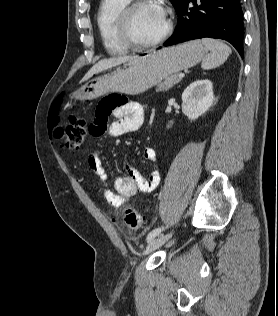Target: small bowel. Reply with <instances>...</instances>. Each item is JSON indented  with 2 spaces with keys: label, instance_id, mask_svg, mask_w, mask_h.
Listing matches in <instances>:
<instances>
[{
  "label": "small bowel",
  "instance_id": "obj_1",
  "mask_svg": "<svg viewBox=\"0 0 278 316\" xmlns=\"http://www.w3.org/2000/svg\"><path fill=\"white\" fill-rule=\"evenodd\" d=\"M113 114L117 119L108 128V133L118 136L137 131L144 122L145 109L138 102L129 101L119 95H110L102 99L96 110V119L91 124V134L99 136L107 130L106 119ZM143 158L151 163L156 161V152L151 147L143 150ZM88 167L95 173L103 187V196L108 204L119 208L129 201L138 192L150 193L159 184L160 175L157 170H152L147 177L140 171L126 164L127 174L115 180V192L106 188L107 173L103 167L101 153L91 149L86 154Z\"/></svg>",
  "mask_w": 278,
  "mask_h": 316
}]
</instances>
